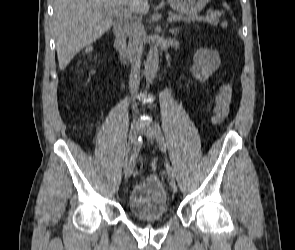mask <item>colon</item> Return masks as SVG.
<instances>
[{
    "instance_id": "colon-1",
    "label": "colon",
    "mask_w": 295,
    "mask_h": 250,
    "mask_svg": "<svg viewBox=\"0 0 295 250\" xmlns=\"http://www.w3.org/2000/svg\"><path fill=\"white\" fill-rule=\"evenodd\" d=\"M232 99V86L230 84L223 85L216 97V104L214 108V123L222 122L228 115ZM152 169H156L157 161L151 164Z\"/></svg>"
}]
</instances>
